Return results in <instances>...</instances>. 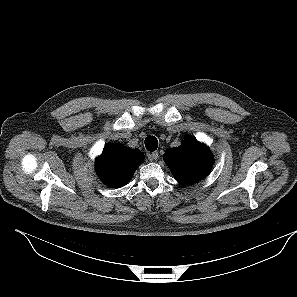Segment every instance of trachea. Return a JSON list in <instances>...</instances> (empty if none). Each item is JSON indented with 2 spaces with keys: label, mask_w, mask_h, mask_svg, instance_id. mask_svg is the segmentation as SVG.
I'll list each match as a JSON object with an SVG mask.
<instances>
[{
  "label": "trachea",
  "mask_w": 297,
  "mask_h": 297,
  "mask_svg": "<svg viewBox=\"0 0 297 297\" xmlns=\"http://www.w3.org/2000/svg\"><path fill=\"white\" fill-rule=\"evenodd\" d=\"M145 147L148 151H155L158 147V140L154 136H148L145 139Z\"/></svg>",
  "instance_id": "obj_1"
}]
</instances>
